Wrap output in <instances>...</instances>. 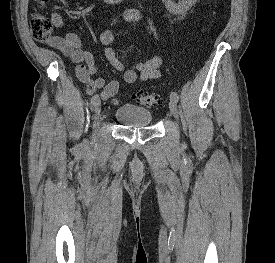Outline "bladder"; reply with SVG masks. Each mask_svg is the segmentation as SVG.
I'll list each match as a JSON object with an SVG mask.
<instances>
[{"label": "bladder", "mask_w": 275, "mask_h": 263, "mask_svg": "<svg viewBox=\"0 0 275 263\" xmlns=\"http://www.w3.org/2000/svg\"><path fill=\"white\" fill-rule=\"evenodd\" d=\"M115 120L127 127H146L152 121V112L133 104H123L115 110Z\"/></svg>", "instance_id": "31cf9c89"}]
</instances>
